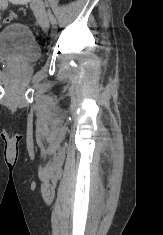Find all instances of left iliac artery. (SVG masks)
<instances>
[{
  "instance_id": "1",
  "label": "left iliac artery",
  "mask_w": 163,
  "mask_h": 235,
  "mask_svg": "<svg viewBox=\"0 0 163 235\" xmlns=\"http://www.w3.org/2000/svg\"><path fill=\"white\" fill-rule=\"evenodd\" d=\"M48 15L50 17L51 23L54 24L55 23V18L53 17L52 13L49 11Z\"/></svg>"
}]
</instances>
